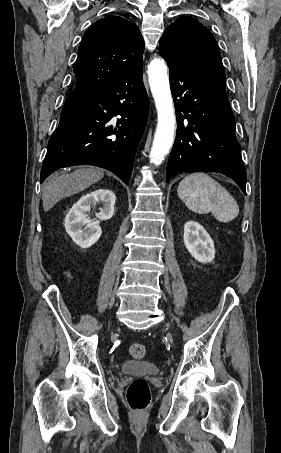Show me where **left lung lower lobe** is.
Returning a JSON list of instances; mask_svg holds the SVG:
<instances>
[{"label":"left lung lower lobe","instance_id":"obj_1","mask_svg":"<svg viewBox=\"0 0 281 453\" xmlns=\"http://www.w3.org/2000/svg\"><path fill=\"white\" fill-rule=\"evenodd\" d=\"M160 55L169 66L178 125L167 182L181 172H218L232 178L246 194V170L226 95L225 74L191 70Z\"/></svg>","mask_w":281,"mask_h":453}]
</instances>
